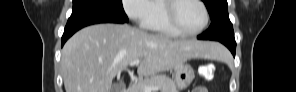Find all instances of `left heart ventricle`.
Returning <instances> with one entry per match:
<instances>
[{"label": "left heart ventricle", "instance_id": "obj_1", "mask_svg": "<svg viewBox=\"0 0 296 92\" xmlns=\"http://www.w3.org/2000/svg\"><path fill=\"white\" fill-rule=\"evenodd\" d=\"M176 18L182 29L195 31L204 22V12L198 3L191 0L182 1L176 8Z\"/></svg>", "mask_w": 296, "mask_h": 92}]
</instances>
